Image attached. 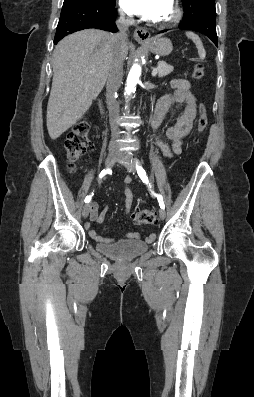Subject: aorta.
Listing matches in <instances>:
<instances>
[{
  "instance_id": "762f6f07",
  "label": "aorta",
  "mask_w": 254,
  "mask_h": 397,
  "mask_svg": "<svg viewBox=\"0 0 254 397\" xmlns=\"http://www.w3.org/2000/svg\"><path fill=\"white\" fill-rule=\"evenodd\" d=\"M141 75V66L138 64H134L130 69V72L127 77L125 92L127 95H130L135 91L136 84L139 81Z\"/></svg>"
}]
</instances>
